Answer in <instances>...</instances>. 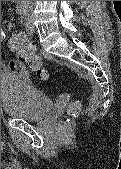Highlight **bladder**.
Wrapping results in <instances>:
<instances>
[{"label": "bladder", "mask_w": 121, "mask_h": 169, "mask_svg": "<svg viewBox=\"0 0 121 169\" xmlns=\"http://www.w3.org/2000/svg\"><path fill=\"white\" fill-rule=\"evenodd\" d=\"M1 105L4 113L22 120H39L52 107L51 98L18 75L1 76Z\"/></svg>", "instance_id": "obj_1"}]
</instances>
